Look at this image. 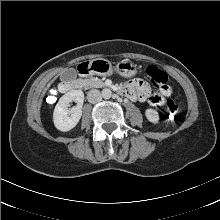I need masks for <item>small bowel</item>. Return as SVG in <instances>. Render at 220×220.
Instances as JSON below:
<instances>
[{
    "instance_id": "1",
    "label": "small bowel",
    "mask_w": 220,
    "mask_h": 220,
    "mask_svg": "<svg viewBox=\"0 0 220 220\" xmlns=\"http://www.w3.org/2000/svg\"><path fill=\"white\" fill-rule=\"evenodd\" d=\"M123 90L127 92V97L132 101L149 102L152 105H160L156 102V98L164 100L171 95V88L167 84L159 93H152L149 85L142 79H135L128 83Z\"/></svg>"
}]
</instances>
